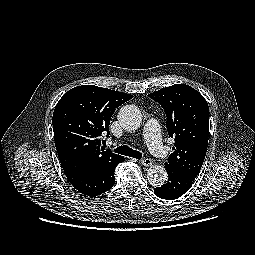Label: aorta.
Instances as JSON below:
<instances>
[{
    "instance_id": "obj_1",
    "label": "aorta",
    "mask_w": 255,
    "mask_h": 255,
    "mask_svg": "<svg viewBox=\"0 0 255 255\" xmlns=\"http://www.w3.org/2000/svg\"><path fill=\"white\" fill-rule=\"evenodd\" d=\"M121 127L126 131L137 130L142 123V113L135 105L123 106L117 115ZM147 178L154 187L162 186L167 180V172L163 165L155 164L147 172Z\"/></svg>"
}]
</instances>
